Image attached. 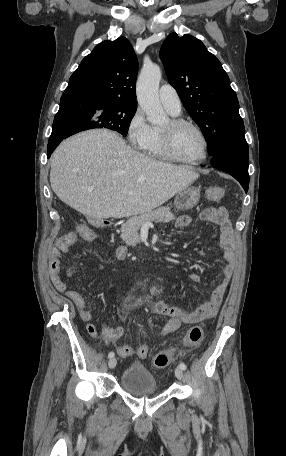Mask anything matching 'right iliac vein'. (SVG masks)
<instances>
[{"label":"right iliac vein","mask_w":286,"mask_h":456,"mask_svg":"<svg viewBox=\"0 0 286 456\" xmlns=\"http://www.w3.org/2000/svg\"><path fill=\"white\" fill-rule=\"evenodd\" d=\"M116 364H117L116 358H111V359L109 360V362H108V367H109L110 369H113V368L116 366Z\"/></svg>","instance_id":"obj_1"}]
</instances>
